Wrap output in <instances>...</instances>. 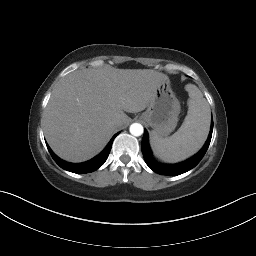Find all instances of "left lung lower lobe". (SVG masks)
Returning <instances> with one entry per match:
<instances>
[{
    "label": "left lung lower lobe",
    "instance_id": "left-lung-lower-lobe-1",
    "mask_svg": "<svg viewBox=\"0 0 256 256\" xmlns=\"http://www.w3.org/2000/svg\"><path fill=\"white\" fill-rule=\"evenodd\" d=\"M212 131H213V121L211 123V129H210L208 139H207L205 145L202 147V149L196 155L191 157L190 159H188L184 162L172 165V164H159L154 161V159L152 157V152L150 150L149 143H148V133L145 130L143 139H142V144H141L144 159H145L147 165L154 172H156L158 174L175 176V175H180L182 173H185V172L191 170L192 168H194L200 162V160L203 158V156L205 155V153L209 147L210 141H211Z\"/></svg>",
    "mask_w": 256,
    "mask_h": 256
}]
</instances>
